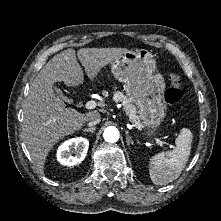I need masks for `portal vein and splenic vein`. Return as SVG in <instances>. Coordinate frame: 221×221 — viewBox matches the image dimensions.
<instances>
[{"label":"portal vein and splenic vein","instance_id":"18ae733b","mask_svg":"<svg viewBox=\"0 0 221 221\" xmlns=\"http://www.w3.org/2000/svg\"><path fill=\"white\" fill-rule=\"evenodd\" d=\"M96 106H97V102L94 101V100H90V101H88V102L85 104V108H86V109H94V108H96ZM154 140H155V143H156L157 145H160V146L163 147V148H166V149H168V148H173V146H172L171 144H169V143H167V142H164V141H161V140L158 139V138H155Z\"/></svg>","mask_w":221,"mask_h":221}]
</instances>
